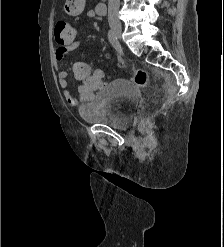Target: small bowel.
Instances as JSON below:
<instances>
[{
  "label": "small bowel",
  "mask_w": 224,
  "mask_h": 247,
  "mask_svg": "<svg viewBox=\"0 0 224 247\" xmlns=\"http://www.w3.org/2000/svg\"><path fill=\"white\" fill-rule=\"evenodd\" d=\"M85 0H66L65 11L71 16H78L82 13L84 9ZM85 18L88 20L99 19V16L94 10H88L85 12ZM58 47L55 49L54 56L57 61H60L66 56L70 51L77 50L81 47L80 43L75 39L70 41H57ZM68 73L67 71H59L58 73V83L63 89V96L68 104L75 105L77 103L76 99L71 95L68 90Z\"/></svg>",
  "instance_id": "1"
}]
</instances>
